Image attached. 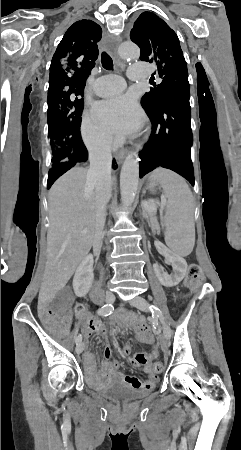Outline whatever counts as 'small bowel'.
<instances>
[{
	"label": "small bowel",
	"mask_w": 241,
	"mask_h": 450,
	"mask_svg": "<svg viewBox=\"0 0 241 450\" xmlns=\"http://www.w3.org/2000/svg\"><path fill=\"white\" fill-rule=\"evenodd\" d=\"M41 309L36 310V319H56V310L50 309V303L44 300L40 303ZM65 317L71 319L74 317V312L68 310L65 312ZM53 322L48 320L44 323V326L48 329L53 327ZM56 327L59 328L56 332L58 334L64 333L63 329H69L71 327V322L69 320H59L56 322ZM126 326L131 329L136 335L139 341L151 346L148 353L138 352L134 356L129 357V361L134 366H142L143 371L147 378L145 380L140 379L136 376L128 375L119 372V362L114 360L110 361V349L105 347L104 349V360L101 363L100 370L97 371L93 362L92 355L90 353H85L84 360L86 364V370L92 377L93 382L98 386H106L111 384H121L132 389L140 390L142 392H150L156 386L159 378L152 365L153 361L157 359L159 355V345L155 339L154 333L150 330L148 331V326L146 324H141L139 326V331L133 326V323H128ZM77 327L82 328L85 335L92 333H99L102 335L107 334V329L105 326L97 319L92 317H87L86 319H78ZM63 328V329H62ZM62 329V330H60ZM52 334L55 332L53 329L50 331ZM131 352L130 344L126 343L122 349L121 354L123 356H128Z\"/></svg>",
	"instance_id": "small-bowel-1"
}]
</instances>
